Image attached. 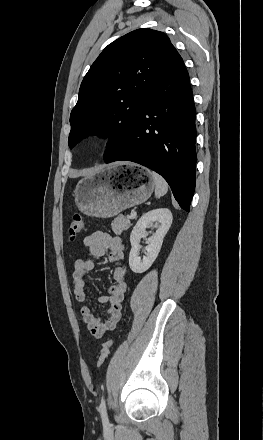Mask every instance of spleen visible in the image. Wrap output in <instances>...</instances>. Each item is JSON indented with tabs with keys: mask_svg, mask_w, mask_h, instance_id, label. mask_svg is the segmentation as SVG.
Instances as JSON below:
<instances>
[{
	"mask_svg": "<svg viewBox=\"0 0 263 440\" xmlns=\"http://www.w3.org/2000/svg\"><path fill=\"white\" fill-rule=\"evenodd\" d=\"M151 175L155 183V196L159 198L165 195L168 191V184L165 179L156 172H151Z\"/></svg>",
	"mask_w": 263,
	"mask_h": 440,
	"instance_id": "3e777b00",
	"label": "spleen"
}]
</instances>
